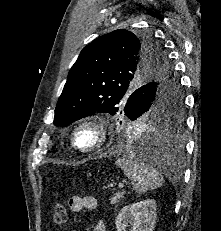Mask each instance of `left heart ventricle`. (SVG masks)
<instances>
[{
    "instance_id": "b2bd125f",
    "label": "left heart ventricle",
    "mask_w": 221,
    "mask_h": 231,
    "mask_svg": "<svg viewBox=\"0 0 221 231\" xmlns=\"http://www.w3.org/2000/svg\"><path fill=\"white\" fill-rule=\"evenodd\" d=\"M76 140L82 148H89L95 144L97 135L93 128L85 127L78 132Z\"/></svg>"
}]
</instances>
